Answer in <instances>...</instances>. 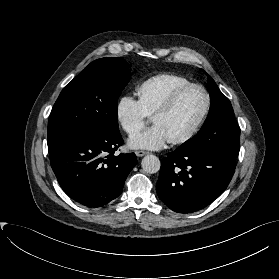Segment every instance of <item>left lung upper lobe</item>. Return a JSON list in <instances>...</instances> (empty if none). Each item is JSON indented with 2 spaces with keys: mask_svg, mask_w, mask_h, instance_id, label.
<instances>
[{
  "mask_svg": "<svg viewBox=\"0 0 279 279\" xmlns=\"http://www.w3.org/2000/svg\"><path fill=\"white\" fill-rule=\"evenodd\" d=\"M211 108L200 131L177 149L185 153L217 151L234 158L240 149V127L228 98L208 75Z\"/></svg>",
  "mask_w": 279,
  "mask_h": 279,
  "instance_id": "left-lung-upper-lobe-1",
  "label": "left lung upper lobe"
}]
</instances>
